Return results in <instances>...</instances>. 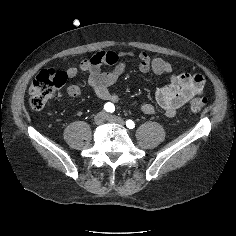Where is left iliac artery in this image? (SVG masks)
<instances>
[{
    "mask_svg": "<svg viewBox=\"0 0 236 236\" xmlns=\"http://www.w3.org/2000/svg\"><path fill=\"white\" fill-rule=\"evenodd\" d=\"M126 126L129 128V129H133L135 127V123L132 121V120H127L126 121Z\"/></svg>",
    "mask_w": 236,
    "mask_h": 236,
    "instance_id": "obj_1",
    "label": "left iliac artery"
}]
</instances>
